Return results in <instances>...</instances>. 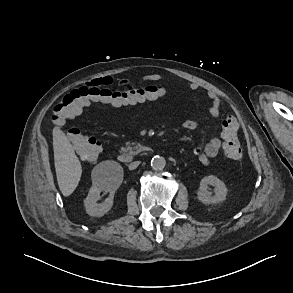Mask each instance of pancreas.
I'll list each match as a JSON object with an SVG mask.
<instances>
[{
  "label": "pancreas",
  "mask_w": 293,
  "mask_h": 293,
  "mask_svg": "<svg viewBox=\"0 0 293 293\" xmlns=\"http://www.w3.org/2000/svg\"><path fill=\"white\" fill-rule=\"evenodd\" d=\"M134 143H126L125 148H121L122 151H129L130 153H138L141 150V145L138 144L135 147H133Z\"/></svg>",
  "instance_id": "obj_1"
}]
</instances>
